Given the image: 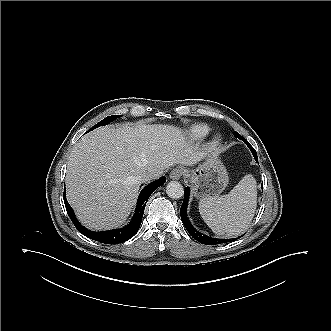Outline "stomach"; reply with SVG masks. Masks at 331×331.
I'll use <instances>...</instances> for the list:
<instances>
[{"mask_svg": "<svg viewBox=\"0 0 331 331\" xmlns=\"http://www.w3.org/2000/svg\"><path fill=\"white\" fill-rule=\"evenodd\" d=\"M186 178L193 185L194 195L199 199L219 196L229 181L225 166L214 154L208 155L196 169L187 170Z\"/></svg>", "mask_w": 331, "mask_h": 331, "instance_id": "0dacf381", "label": "stomach"}]
</instances>
